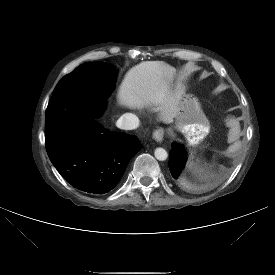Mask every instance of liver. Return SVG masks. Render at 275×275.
Wrapping results in <instances>:
<instances>
[{"mask_svg":"<svg viewBox=\"0 0 275 275\" xmlns=\"http://www.w3.org/2000/svg\"><path fill=\"white\" fill-rule=\"evenodd\" d=\"M173 67L163 61H145L131 68L118 92L119 103L131 109L155 107L159 120L171 122L176 116L180 94H172Z\"/></svg>","mask_w":275,"mask_h":275,"instance_id":"obj_1","label":"liver"}]
</instances>
